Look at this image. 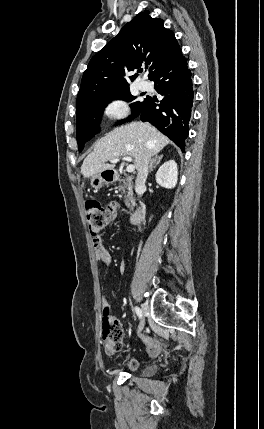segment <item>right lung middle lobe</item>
<instances>
[{
  "label": "right lung middle lobe",
  "instance_id": "1",
  "mask_svg": "<svg viewBox=\"0 0 264 429\" xmlns=\"http://www.w3.org/2000/svg\"><path fill=\"white\" fill-rule=\"evenodd\" d=\"M135 98L136 97L129 93L128 88L102 96L98 99L76 107L77 143L79 151H82L84 144L93 138L96 133H98L101 115L104 111V108L108 103L111 102V100L121 99L129 102L133 101ZM148 98L149 97H146L144 101H137L130 105L132 109V115L127 120L135 118L141 112Z\"/></svg>",
  "mask_w": 264,
  "mask_h": 429
}]
</instances>
